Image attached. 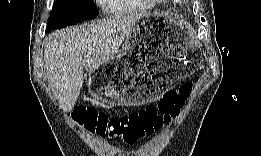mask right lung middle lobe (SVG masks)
<instances>
[{
	"instance_id": "obj_1",
	"label": "right lung middle lobe",
	"mask_w": 261,
	"mask_h": 156,
	"mask_svg": "<svg viewBox=\"0 0 261 156\" xmlns=\"http://www.w3.org/2000/svg\"><path fill=\"white\" fill-rule=\"evenodd\" d=\"M97 16V6L90 0H56L46 31L61 29Z\"/></svg>"
}]
</instances>
